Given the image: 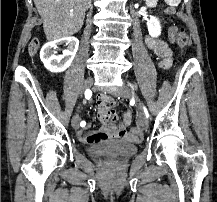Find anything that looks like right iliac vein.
<instances>
[{
  "instance_id": "right-iliac-vein-1",
  "label": "right iliac vein",
  "mask_w": 217,
  "mask_h": 202,
  "mask_svg": "<svg viewBox=\"0 0 217 202\" xmlns=\"http://www.w3.org/2000/svg\"><path fill=\"white\" fill-rule=\"evenodd\" d=\"M92 84H93V79L87 78L83 83V90H87L91 88ZM79 121H80L79 114L76 113L71 120V124L74 129H77L79 127Z\"/></svg>"
}]
</instances>
